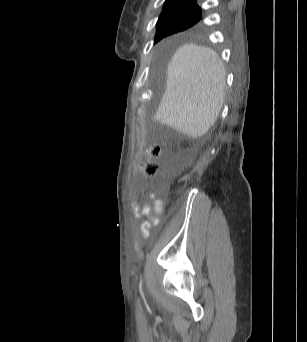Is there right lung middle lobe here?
Returning <instances> with one entry per match:
<instances>
[{"instance_id": "obj_1", "label": "right lung middle lobe", "mask_w": 307, "mask_h": 342, "mask_svg": "<svg viewBox=\"0 0 307 342\" xmlns=\"http://www.w3.org/2000/svg\"><path fill=\"white\" fill-rule=\"evenodd\" d=\"M202 18V10H176L162 13L157 22L155 42L191 27Z\"/></svg>"}]
</instances>
